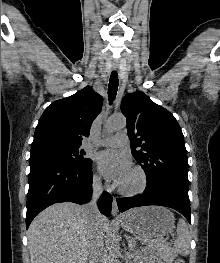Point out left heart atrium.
<instances>
[{
  "label": "left heart atrium",
  "mask_w": 220,
  "mask_h": 263,
  "mask_svg": "<svg viewBox=\"0 0 220 263\" xmlns=\"http://www.w3.org/2000/svg\"><path fill=\"white\" fill-rule=\"evenodd\" d=\"M97 161L101 173L116 185H120L131 171L129 158L116 150L100 152Z\"/></svg>",
  "instance_id": "left-heart-atrium-1"
}]
</instances>
